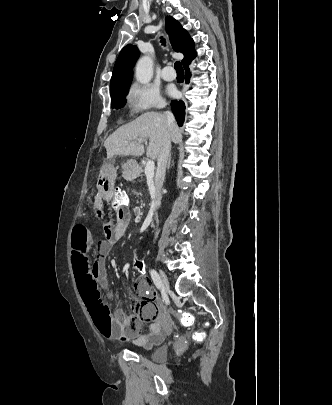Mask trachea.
<instances>
[{
    "label": "trachea",
    "instance_id": "3493384b",
    "mask_svg": "<svg viewBox=\"0 0 332 405\" xmlns=\"http://www.w3.org/2000/svg\"><path fill=\"white\" fill-rule=\"evenodd\" d=\"M161 42H162V45H165V40L164 39H161ZM174 68H175L177 74H183L184 73L183 67H182V65H181V63L179 61L175 62Z\"/></svg>",
    "mask_w": 332,
    "mask_h": 405
}]
</instances>
